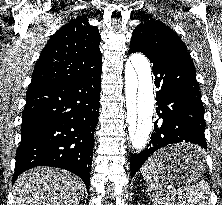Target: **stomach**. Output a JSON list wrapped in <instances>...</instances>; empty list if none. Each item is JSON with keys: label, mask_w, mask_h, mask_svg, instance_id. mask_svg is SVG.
<instances>
[{"label": "stomach", "mask_w": 222, "mask_h": 205, "mask_svg": "<svg viewBox=\"0 0 222 205\" xmlns=\"http://www.w3.org/2000/svg\"><path fill=\"white\" fill-rule=\"evenodd\" d=\"M185 150H200L196 145L181 143L160 150L155 156L159 158L158 171L165 183H191L201 178L206 170L205 160L196 165L182 166L170 163V159Z\"/></svg>", "instance_id": "obj_1"}]
</instances>
